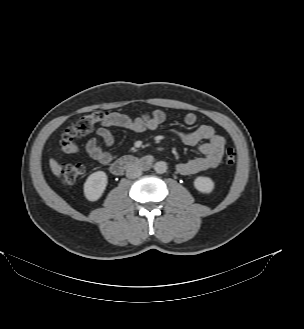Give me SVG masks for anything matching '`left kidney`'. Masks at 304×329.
I'll list each match as a JSON object with an SVG mask.
<instances>
[{
    "label": "left kidney",
    "instance_id": "obj_1",
    "mask_svg": "<svg viewBox=\"0 0 304 329\" xmlns=\"http://www.w3.org/2000/svg\"><path fill=\"white\" fill-rule=\"evenodd\" d=\"M194 187L201 193H211L214 189V182L209 177L199 176L194 180Z\"/></svg>",
    "mask_w": 304,
    "mask_h": 329
}]
</instances>
